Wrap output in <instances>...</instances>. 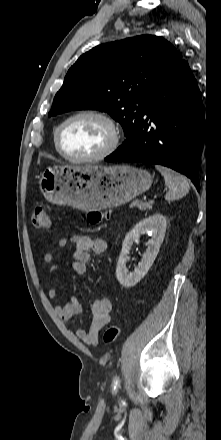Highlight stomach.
<instances>
[{"label": "stomach", "mask_w": 221, "mask_h": 440, "mask_svg": "<svg viewBox=\"0 0 221 440\" xmlns=\"http://www.w3.org/2000/svg\"><path fill=\"white\" fill-rule=\"evenodd\" d=\"M151 174L130 165L54 166L41 174L39 187L51 203L99 211L121 206L147 191Z\"/></svg>", "instance_id": "obj_1"}]
</instances>
